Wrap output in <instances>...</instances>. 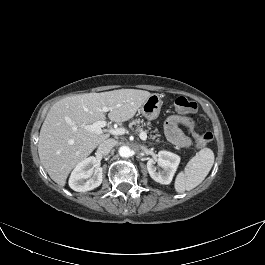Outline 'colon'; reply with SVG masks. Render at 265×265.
I'll return each instance as SVG.
<instances>
[{"label":"colon","instance_id":"obj_1","mask_svg":"<svg viewBox=\"0 0 265 265\" xmlns=\"http://www.w3.org/2000/svg\"><path fill=\"white\" fill-rule=\"evenodd\" d=\"M174 105L177 110L184 111L190 114L187 117L192 127L195 124V119L192 116V114L195 113L197 109L196 103L191 100L186 99L185 97H178L175 100ZM194 139H195L196 145L199 148H202L208 145L213 140V134L211 132H206L203 134H194Z\"/></svg>","mask_w":265,"mask_h":265}]
</instances>
